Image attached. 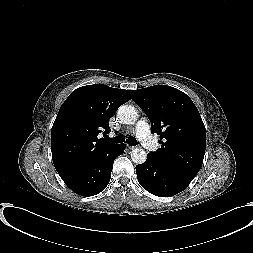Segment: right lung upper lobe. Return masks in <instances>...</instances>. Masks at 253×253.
Wrapping results in <instances>:
<instances>
[{"mask_svg":"<svg viewBox=\"0 0 253 253\" xmlns=\"http://www.w3.org/2000/svg\"><path fill=\"white\" fill-rule=\"evenodd\" d=\"M130 99V90L99 84L80 87L68 96L51 130L52 158L60 176L87 167L115 146L97 135L110 131L109 119Z\"/></svg>","mask_w":253,"mask_h":253,"instance_id":"right-lung-upper-lobe-1","label":"right lung upper lobe"}]
</instances>
